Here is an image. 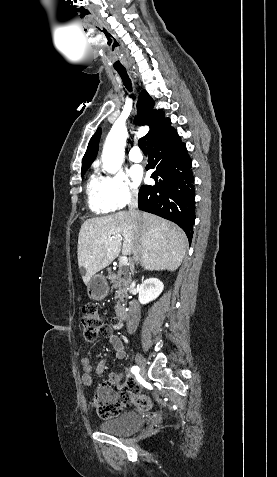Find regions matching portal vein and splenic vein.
Returning a JSON list of instances; mask_svg holds the SVG:
<instances>
[{
    "label": "portal vein and splenic vein",
    "instance_id": "18ae733b",
    "mask_svg": "<svg viewBox=\"0 0 277 477\" xmlns=\"http://www.w3.org/2000/svg\"><path fill=\"white\" fill-rule=\"evenodd\" d=\"M111 240H112V239H111ZM127 264H128V258H127V256H121V257L119 258V265H120V266H125V265H127Z\"/></svg>",
    "mask_w": 277,
    "mask_h": 477
}]
</instances>
